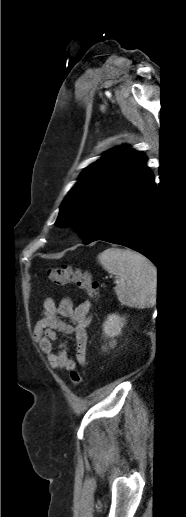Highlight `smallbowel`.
<instances>
[{
  "label": "small bowel",
  "mask_w": 186,
  "mask_h": 517,
  "mask_svg": "<svg viewBox=\"0 0 186 517\" xmlns=\"http://www.w3.org/2000/svg\"><path fill=\"white\" fill-rule=\"evenodd\" d=\"M91 303L84 301L74 306L69 297L63 298L57 305L53 299L47 298L43 303V316L37 321L34 336L39 342L48 364L55 370L71 371L76 363H86L87 332L90 324ZM62 318L68 319L65 322ZM73 335L76 345V360L68 356L66 345L59 343L57 349V333Z\"/></svg>",
  "instance_id": "1"
}]
</instances>
